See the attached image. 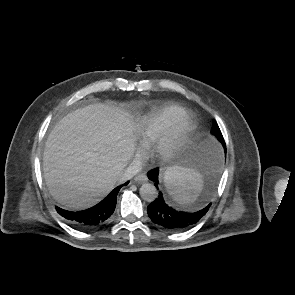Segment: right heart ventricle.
Listing matches in <instances>:
<instances>
[{
    "label": "right heart ventricle",
    "instance_id": "right-heart-ventricle-1",
    "mask_svg": "<svg viewBox=\"0 0 295 295\" xmlns=\"http://www.w3.org/2000/svg\"><path fill=\"white\" fill-rule=\"evenodd\" d=\"M184 109L170 104L142 116L136 127V136L144 147L154 143L181 115Z\"/></svg>",
    "mask_w": 295,
    "mask_h": 295
}]
</instances>
